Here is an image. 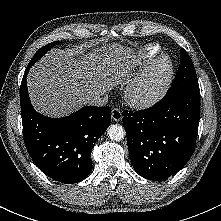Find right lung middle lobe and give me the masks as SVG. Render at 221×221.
Masks as SVG:
<instances>
[{
  "label": "right lung middle lobe",
  "instance_id": "right-lung-middle-lobe-1",
  "mask_svg": "<svg viewBox=\"0 0 221 221\" xmlns=\"http://www.w3.org/2000/svg\"><path fill=\"white\" fill-rule=\"evenodd\" d=\"M59 43V41H54L52 43H49L47 45H45L44 47L40 48L35 55L33 56V58L30 61V65H33L35 62H37L49 49H51L52 47H54L55 45H57Z\"/></svg>",
  "mask_w": 221,
  "mask_h": 221
}]
</instances>
